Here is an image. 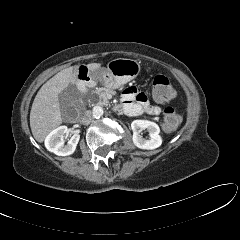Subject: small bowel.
<instances>
[{
  "instance_id": "obj_1",
  "label": "small bowel",
  "mask_w": 240,
  "mask_h": 240,
  "mask_svg": "<svg viewBox=\"0 0 240 240\" xmlns=\"http://www.w3.org/2000/svg\"><path fill=\"white\" fill-rule=\"evenodd\" d=\"M120 107L129 116L141 114L158 115L161 108L149 103L147 96L136 86H129L123 91Z\"/></svg>"
}]
</instances>
